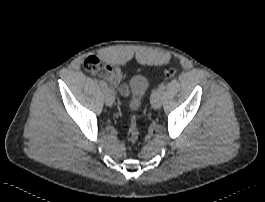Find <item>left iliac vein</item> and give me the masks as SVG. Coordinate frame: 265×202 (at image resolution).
Segmentation results:
<instances>
[{
    "mask_svg": "<svg viewBox=\"0 0 265 202\" xmlns=\"http://www.w3.org/2000/svg\"><path fill=\"white\" fill-rule=\"evenodd\" d=\"M151 104L154 109H159L162 105V95L155 94L154 97L151 99Z\"/></svg>",
    "mask_w": 265,
    "mask_h": 202,
    "instance_id": "4c4485c4",
    "label": "left iliac vein"
}]
</instances>
